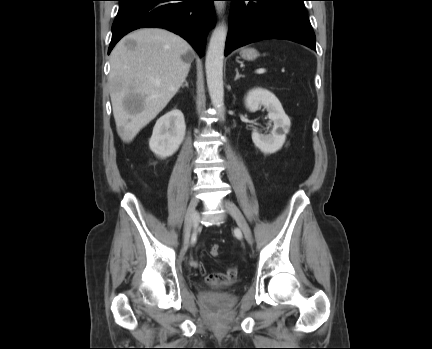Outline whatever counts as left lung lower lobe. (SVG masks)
<instances>
[{
  "label": "left lung lower lobe",
  "mask_w": 432,
  "mask_h": 349,
  "mask_svg": "<svg viewBox=\"0 0 432 349\" xmlns=\"http://www.w3.org/2000/svg\"><path fill=\"white\" fill-rule=\"evenodd\" d=\"M230 1L225 55L264 39L291 40L316 50L315 34L303 4L305 0Z\"/></svg>",
  "instance_id": "0a47b994"
}]
</instances>
